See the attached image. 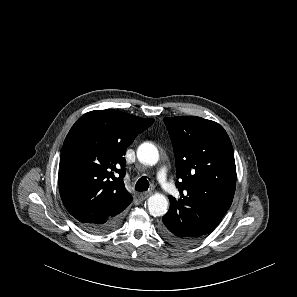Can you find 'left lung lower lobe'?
Wrapping results in <instances>:
<instances>
[{
    "label": "left lung lower lobe",
    "mask_w": 297,
    "mask_h": 297,
    "mask_svg": "<svg viewBox=\"0 0 297 297\" xmlns=\"http://www.w3.org/2000/svg\"><path fill=\"white\" fill-rule=\"evenodd\" d=\"M161 234L165 239L174 244H189L193 240L184 236L179 223V218L175 213V207L170 204V209L162 218Z\"/></svg>",
    "instance_id": "0a47b994"
}]
</instances>
